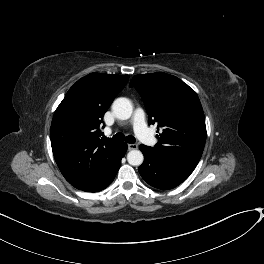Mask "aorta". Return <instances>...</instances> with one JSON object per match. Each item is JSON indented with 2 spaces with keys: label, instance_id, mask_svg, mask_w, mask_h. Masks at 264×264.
<instances>
[{
  "label": "aorta",
  "instance_id": "obj_1",
  "mask_svg": "<svg viewBox=\"0 0 264 264\" xmlns=\"http://www.w3.org/2000/svg\"><path fill=\"white\" fill-rule=\"evenodd\" d=\"M114 115L120 120H127L131 117L133 106L129 99L120 97L114 100L112 104ZM144 156L139 150H131L127 154V161L132 166H139L143 163Z\"/></svg>",
  "mask_w": 264,
  "mask_h": 264
}]
</instances>
